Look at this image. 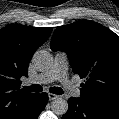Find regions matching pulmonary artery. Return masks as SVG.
Here are the masks:
<instances>
[{"label":"pulmonary artery","mask_w":119,"mask_h":119,"mask_svg":"<svg viewBox=\"0 0 119 119\" xmlns=\"http://www.w3.org/2000/svg\"><path fill=\"white\" fill-rule=\"evenodd\" d=\"M67 70V55L65 53L59 52L55 55L52 67L46 72H43L29 79L28 83H50L58 80L62 83L65 89L68 90L72 95L78 96L80 94V91L68 79Z\"/></svg>","instance_id":"e3ab8cb5"}]
</instances>
